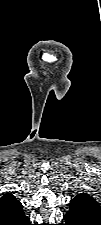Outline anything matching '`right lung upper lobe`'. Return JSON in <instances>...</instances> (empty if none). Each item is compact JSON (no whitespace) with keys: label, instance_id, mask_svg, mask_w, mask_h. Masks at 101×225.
<instances>
[{"label":"right lung upper lobe","instance_id":"1","mask_svg":"<svg viewBox=\"0 0 101 225\" xmlns=\"http://www.w3.org/2000/svg\"><path fill=\"white\" fill-rule=\"evenodd\" d=\"M26 218L22 204L13 194H5L1 197L0 225H21Z\"/></svg>","mask_w":101,"mask_h":225}]
</instances>
